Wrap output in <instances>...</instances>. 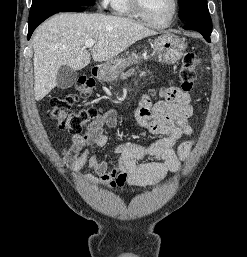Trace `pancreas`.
<instances>
[{
	"instance_id": "obj_1",
	"label": "pancreas",
	"mask_w": 247,
	"mask_h": 257,
	"mask_svg": "<svg viewBox=\"0 0 247 257\" xmlns=\"http://www.w3.org/2000/svg\"><path fill=\"white\" fill-rule=\"evenodd\" d=\"M136 69H137V68H131V69H129L127 72L122 73V74L120 75V79L124 80V79H127L128 77H131L132 75L135 74ZM145 75H146V72H141V74H140V76H145Z\"/></svg>"
}]
</instances>
